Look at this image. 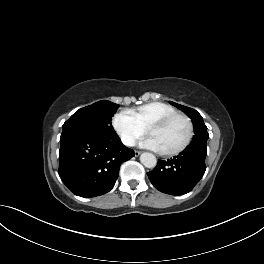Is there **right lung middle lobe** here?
Returning a JSON list of instances; mask_svg holds the SVG:
<instances>
[{
    "instance_id": "right-lung-middle-lobe-1",
    "label": "right lung middle lobe",
    "mask_w": 264,
    "mask_h": 264,
    "mask_svg": "<svg viewBox=\"0 0 264 264\" xmlns=\"http://www.w3.org/2000/svg\"><path fill=\"white\" fill-rule=\"evenodd\" d=\"M118 107V104L102 100L81 108L63 124V131L77 129L94 133L115 134L111 120Z\"/></svg>"
}]
</instances>
